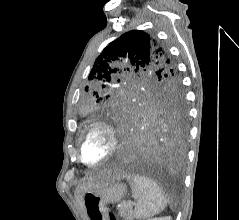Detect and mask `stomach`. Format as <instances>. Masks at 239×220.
<instances>
[{
    "label": "stomach",
    "instance_id": "stomach-1",
    "mask_svg": "<svg viewBox=\"0 0 239 220\" xmlns=\"http://www.w3.org/2000/svg\"><path fill=\"white\" fill-rule=\"evenodd\" d=\"M126 186L119 181H111L83 194L82 207L87 220H122L121 205H108L119 202L126 194Z\"/></svg>",
    "mask_w": 239,
    "mask_h": 220
}]
</instances>
